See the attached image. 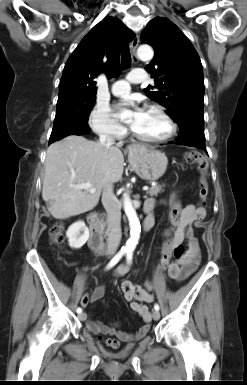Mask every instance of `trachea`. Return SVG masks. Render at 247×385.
I'll return each mask as SVG.
<instances>
[{
	"label": "trachea",
	"instance_id": "1",
	"mask_svg": "<svg viewBox=\"0 0 247 385\" xmlns=\"http://www.w3.org/2000/svg\"><path fill=\"white\" fill-rule=\"evenodd\" d=\"M121 59H122V68H128L131 64V55L129 48L127 46L123 47L122 52H121Z\"/></svg>",
	"mask_w": 247,
	"mask_h": 385
}]
</instances>
